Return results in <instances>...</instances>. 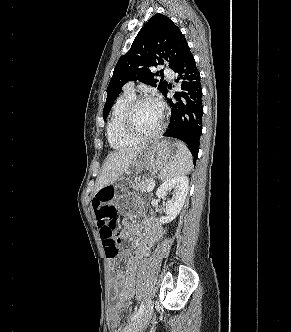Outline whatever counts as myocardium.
Returning a JSON list of instances; mask_svg holds the SVG:
<instances>
[{"mask_svg": "<svg viewBox=\"0 0 291 332\" xmlns=\"http://www.w3.org/2000/svg\"><path fill=\"white\" fill-rule=\"evenodd\" d=\"M151 101L157 104L161 112V124L158 129L151 134H141L137 132L134 128V113L136 108L143 102ZM167 125L165 107L158 99L149 96L141 95L134 97L128 104L124 116H123V130L127 136L137 141H147L152 140L160 136L165 130Z\"/></svg>", "mask_w": 291, "mask_h": 332, "instance_id": "f54148a6", "label": "myocardium"}]
</instances>
